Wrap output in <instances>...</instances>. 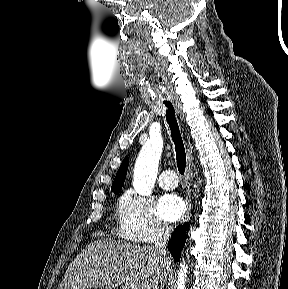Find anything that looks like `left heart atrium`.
<instances>
[{
	"mask_svg": "<svg viewBox=\"0 0 288 289\" xmlns=\"http://www.w3.org/2000/svg\"><path fill=\"white\" fill-rule=\"evenodd\" d=\"M158 213L167 221H176L182 217L186 210L183 199L174 193L163 195L158 202Z\"/></svg>",
	"mask_w": 288,
	"mask_h": 289,
	"instance_id": "39dd6f15",
	"label": "left heart atrium"
}]
</instances>
